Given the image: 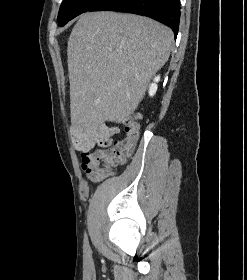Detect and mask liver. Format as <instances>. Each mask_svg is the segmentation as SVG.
Returning <instances> with one entry per match:
<instances>
[{
	"label": "liver",
	"instance_id": "1",
	"mask_svg": "<svg viewBox=\"0 0 247 280\" xmlns=\"http://www.w3.org/2000/svg\"><path fill=\"white\" fill-rule=\"evenodd\" d=\"M173 39L171 29L147 17L82 14L67 46L71 121L90 130L129 118L167 62Z\"/></svg>",
	"mask_w": 247,
	"mask_h": 280
}]
</instances>
